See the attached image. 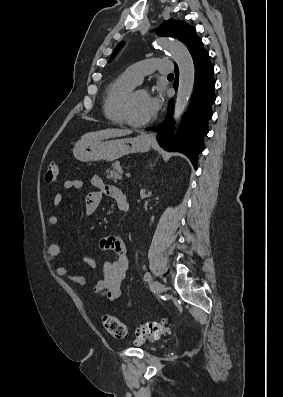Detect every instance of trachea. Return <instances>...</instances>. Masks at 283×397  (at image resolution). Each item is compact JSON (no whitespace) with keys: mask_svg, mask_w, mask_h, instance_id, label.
<instances>
[{"mask_svg":"<svg viewBox=\"0 0 283 397\" xmlns=\"http://www.w3.org/2000/svg\"><path fill=\"white\" fill-rule=\"evenodd\" d=\"M168 77H174V75L173 74H169Z\"/></svg>","mask_w":283,"mask_h":397,"instance_id":"obj_1","label":"trachea"}]
</instances>
